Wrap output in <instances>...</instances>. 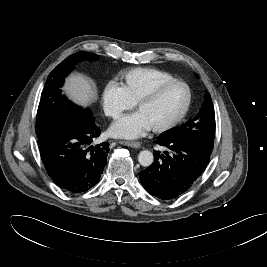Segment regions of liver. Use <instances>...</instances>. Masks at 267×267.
Instances as JSON below:
<instances>
[{"instance_id":"6515ba94","label":"liver","mask_w":267,"mask_h":267,"mask_svg":"<svg viewBox=\"0 0 267 267\" xmlns=\"http://www.w3.org/2000/svg\"><path fill=\"white\" fill-rule=\"evenodd\" d=\"M64 90L70 99L81 106H87L96 99V90L92 82L81 74L66 79Z\"/></svg>"}]
</instances>
